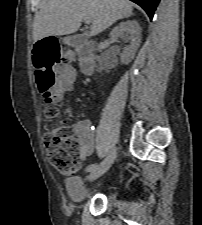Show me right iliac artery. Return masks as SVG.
Wrapping results in <instances>:
<instances>
[{
  "instance_id": "right-iliac-artery-1",
  "label": "right iliac artery",
  "mask_w": 202,
  "mask_h": 225,
  "mask_svg": "<svg viewBox=\"0 0 202 225\" xmlns=\"http://www.w3.org/2000/svg\"><path fill=\"white\" fill-rule=\"evenodd\" d=\"M98 167V164H91L86 168L87 172H90Z\"/></svg>"
}]
</instances>
